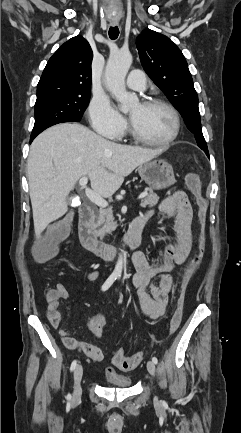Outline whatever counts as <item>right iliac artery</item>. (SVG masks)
Returning a JSON list of instances; mask_svg holds the SVG:
<instances>
[{
	"label": "right iliac artery",
	"mask_w": 241,
	"mask_h": 433,
	"mask_svg": "<svg viewBox=\"0 0 241 433\" xmlns=\"http://www.w3.org/2000/svg\"><path fill=\"white\" fill-rule=\"evenodd\" d=\"M117 279V276L116 275H110L109 276V278L105 281V283L102 285V291H106L113 283H114V281ZM76 365H77V361L76 360H74L72 363H71V367H70V370L71 371H73L74 369H75V367H76ZM67 400H71V395L70 394H68L67 395Z\"/></svg>",
	"instance_id": "1"
}]
</instances>
